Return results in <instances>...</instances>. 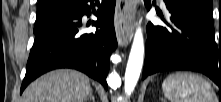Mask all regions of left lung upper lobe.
Returning <instances> with one entry per match:
<instances>
[{
  "label": "left lung upper lobe",
  "instance_id": "obj_1",
  "mask_svg": "<svg viewBox=\"0 0 221 102\" xmlns=\"http://www.w3.org/2000/svg\"><path fill=\"white\" fill-rule=\"evenodd\" d=\"M182 2L194 9L206 18L212 20L213 4L212 0H175Z\"/></svg>",
  "mask_w": 221,
  "mask_h": 102
}]
</instances>
